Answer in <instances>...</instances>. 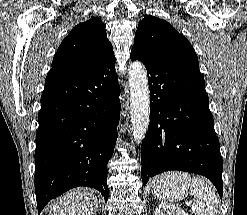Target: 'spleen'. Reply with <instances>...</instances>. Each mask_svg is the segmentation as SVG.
<instances>
[{"label":"spleen","instance_id":"1","mask_svg":"<svg viewBox=\"0 0 247 215\" xmlns=\"http://www.w3.org/2000/svg\"><path fill=\"white\" fill-rule=\"evenodd\" d=\"M191 194L194 196L192 211L195 215H217L218 200L215 191L203 178L191 179Z\"/></svg>","mask_w":247,"mask_h":215}]
</instances>
